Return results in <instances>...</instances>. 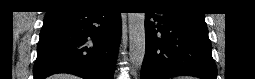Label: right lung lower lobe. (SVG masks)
Here are the masks:
<instances>
[{
    "mask_svg": "<svg viewBox=\"0 0 255 79\" xmlns=\"http://www.w3.org/2000/svg\"><path fill=\"white\" fill-rule=\"evenodd\" d=\"M120 34V12L103 6L47 13L37 45L34 79L61 72L84 79H112Z\"/></svg>",
    "mask_w": 255,
    "mask_h": 79,
    "instance_id": "right-lung-lower-lobe-1",
    "label": "right lung lower lobe"
}]
</instances>
